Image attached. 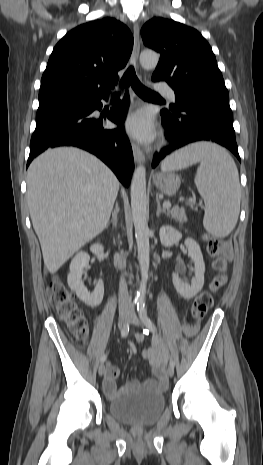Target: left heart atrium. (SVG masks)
<instances>
[{"instance_id": "39dd6f15", "label": "left heart atrium", "mask_w": 263, "mask_h": 465, "mask_svg": "<svg viewBox=\"0 0 263 465\" xmlns=\"http://www.w3.org/2000/svg\"><path fill=\"white\" fill-rule=\"evenodd\" d=\"M126 132L142 142H150L154 138V126L149 115L144 111L131 114L123 123Z\"/></svg>"}]
</instances>
